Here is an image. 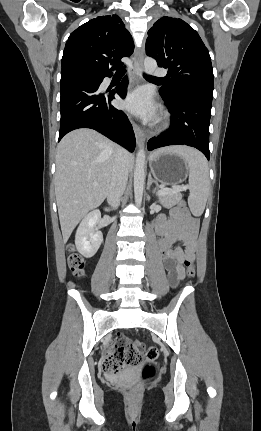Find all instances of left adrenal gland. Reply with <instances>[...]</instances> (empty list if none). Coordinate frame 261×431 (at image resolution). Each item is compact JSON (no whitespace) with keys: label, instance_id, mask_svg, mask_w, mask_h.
<instances>
[{"label":"left adrenal gland","instance_id":"a2214340","mask_svg":"<svg viewBox=\"0 0 261 431\" xmlns=\"http://www.w3.org/2000/svg\"><path fill=\"white\" fill-rule=\"evenodd\" d=\"M153 183V179H152V177H151V175L149 174V176H148V183H147V185H148V189H150V185Z\"/></svg>","mask_w":261,"mask_h":431}]
</instances>
